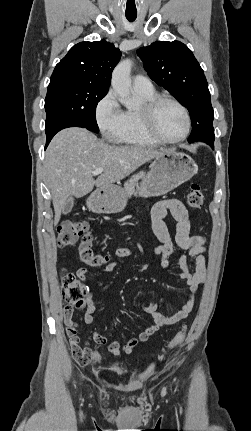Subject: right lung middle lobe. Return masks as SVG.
<instances>
[{
    "label": "right lung middle lobe",
    "mask_w": 251,
    "mask_h": 431,
    "mask_svg": "<svg viewBox=\"0 0 251 431\" xmlns=\"http://www.w3.org/2000/svg\"><path fill=\"white\" fill-rule=\"evenodd\" d=\"M108 90L72 78L51 79L45 99V132L73 124L98 133L96 106Z\"/></svg>",
    "instance_id": "right-lung-middle-lobe-1"
}]
</instances>
